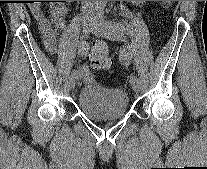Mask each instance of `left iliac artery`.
Masks as SVG:
<instances>
[{"instance_id":"1","label":"left iliac artery","mask_w":207,"mask_h":169,"mask_svg":"<svg viewBox=\"0 0 207 169\" xmlns=\"http://www.w3.org/2000/svg\"><path fill=\"white\" fill-rule=\"evenodd\" d=\"M112 27L117 31L118 34L123 35V33L125 32L126 28L124 26V24L120 23V22H111ZM130 46H123V49H121V53H119V58L121 61V64H124L123 66L125 67V64H129L130 63ZM138 77L135 75H132L130 77V82L133 81H137Z\"/></svg>"}]
</instances>
